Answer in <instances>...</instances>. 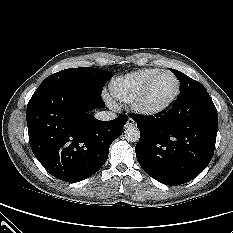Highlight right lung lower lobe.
<instances>
[{
	"label": "right lung lower lobe",
	"instance_id": "1",
	"mask_svg": "<svg viewBox=\"0 0 233 233\" xmlns=\"http://www.w3.org/2000/svg\"><path fill=\"white\" fill-rule=\"evenodd\" d=\"M104 105L101 94L71 82L33 94L27 106L29 143L51 175L78 182L103 166L111 143L128 120L122 114L103 122L89 113Z\"/></svg>",
	"mask_w": 233,
	"mask_h": 233
}]
</instances>
